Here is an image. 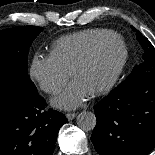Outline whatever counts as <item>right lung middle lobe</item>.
Listing matches in <instances>:
<instances>
[{"label":"right lung middle lobe","instance_id":"right-lung-middle-lobe-1","mask_svg":"<svg viewBox=\"0 0 155 155\" xmlns=\"http://www.w3.org/2000/svg\"><path fill=\"white\" fill-rule=\"evenodd\" d=\"M43 30L21 26L0 31V101L27 104L37 89L28 76V52L33 40Z\"/></svg>","mask_w":155,"mask_h":155}]
</instances>
